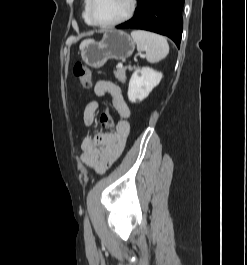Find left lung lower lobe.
Instances as JSON below:
<instances>
[{
	"label": "left lung lower lobe",
	"instance_id": "obj_1",
	"mask_svg": "<svg viewBox=\"0 0 247 265\" xmlns=\"http://www.w3.org/2000/svg\"><path fill=\"white\" fill-rule=\"evenodd\" d=\"M134 17L117 28L144 29L166 35L177 47L183 30L182 9L184 0H137Z\"/></svg>",
	"mask_w": 247,
	"mask_h": 265
}]
</instances>
